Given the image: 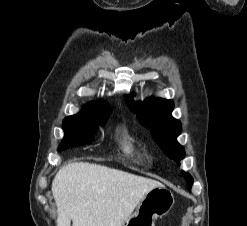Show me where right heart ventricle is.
<instances>
[{
    "mask_svg": "<svg viewBox=\"0 0 247 226\" xmlns=\"http://www.w3.org/2000/svg\"><path fill=\"white\" fill-rule=\"evenodd\" d=\"M124 151L130 155V156H133L134 155V152H133V145L131 142L129 141H126L125 142V145H124Z\"/></svg>",
    "mask_w": 247,
    "mask_h": 226,
    "instance_id": "1",
    "label": "right heart ventricle"
}]
</instances>
